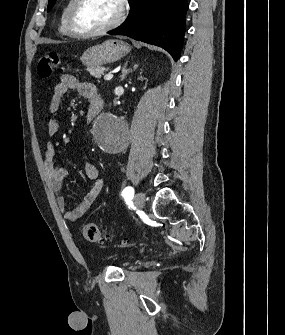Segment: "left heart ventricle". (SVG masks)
I'll return each instance as SVG.
<instances>
[{"instance_id":"b2bd125f","label":"left heart ventricle","mask_w":285,"mask_h":335,"mask_svg":"<svg viewBox=\"0 0 285 335\" xmlns=\"http://www.w3.org/2000/svg\"><path fill=\"white\" fill-rule=\"evenodd\" d=\"M115 1H88L79 13L80 25L88 30L106 26L115 16Z\"/></svg>"}]
</instances>
